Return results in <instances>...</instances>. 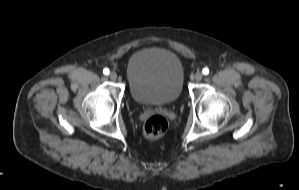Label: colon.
<instances>
[{
	"mask_svg": "<svg viewBox=\"0 0 299 190\" xmlns=\"http://www.w3.org/2000/svg\"><path fill=\"white\" fill-rule=\"evenodd\" d=\"M167 129V120L161 115H154L145 122L143 131L147 139L156 140L161 138Z\"/></svg>",
	"mask_w": 299,
	"mask_h": 190,
	"instance_id": "obj_1",
	"label": "colon"
}]
</instances>
